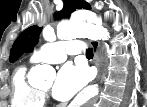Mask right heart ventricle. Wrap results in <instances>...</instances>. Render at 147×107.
<instances>
[{"mask_svg":"<svg viewBox=\"0 0 147 107\" xmlns=\"http://www.w3.org/2000/svg\"><path fill=\"white\" fill-rule=\"evenodd\" d=\"M11 104L13 107H43L44 98L26 77L24 66L15 70L11 83Z\"/></svg>","mask_w":147,"mask_h":107,"instance_id":"obj_1","label":"right heart ventricle"}]
</instances>
